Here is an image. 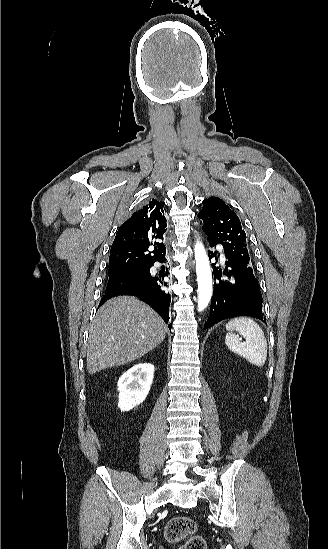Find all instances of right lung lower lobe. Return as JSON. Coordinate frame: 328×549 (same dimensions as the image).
Here are the masks:
<instances>
[{
	"label": "right lung lower lobe",
	"instance_id": "1",
	"mask_svg": "<svg viewBox=\"0 0 328 549\" xmlns=\"http://www.w3.org/2000/svg\"><path fill=\"white\" fill-rule=\"evenodd\" d=\"M164 259L165 256L160 259L159 262H163ZM166 278H168V272L159 273V275L150 274V276L144 281L132 282L121 285L112 290H106L99 306L102 305L107 299L117 295H135L148 303L163 318V320L168 323L171 296L166 290ZM168 327L171 329V324H169Z\"/></svg>",
	"mask_w": 328,
	"mask_h": 549
}]
</instances>
